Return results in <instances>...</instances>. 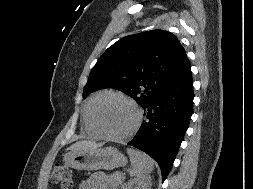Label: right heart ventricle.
Masks as SVG:
<instances>
[{
  "instance_id": "right-heart-ventricle-1",
  "label": "right heart ventricle",
  "mask_w": 253,
  "mask_h": 189,
  "mask_svg": "<svg viewBox=\"0 0 253 189\" xmlns=\"http://www.w3.org/2000/svg\"><path fill=\"white\" fill-rule=\"evenodd\" d=\"M94 98H90L83 107V112H82V125L84 127V130L90 135L94 137L100 136L98 132L93 128L91 122H90V117H89V109L91 106V103Z\"/></svg>"
}]
</instances>
